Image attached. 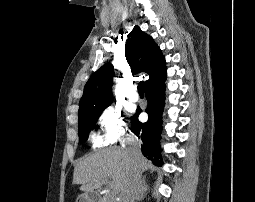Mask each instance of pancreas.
<instances>
[{
    "instance_id": "pancreas-1",
    "label": "pancreas",
    "mask_w": 255,
    "mask_h": 202,
    "mask_svg": "<svg viewBox=\"0 0 255 202\" xmlns=\"http://www.w3.org/2000/svg\"><path fill=\"white\" fill-rule=\"evenodd\" d=\"M101 202H115V201L113 200L112 197L106 196L102 198Z\"/></svg>"
}]
</instances>
